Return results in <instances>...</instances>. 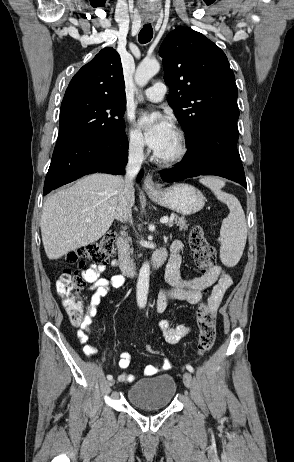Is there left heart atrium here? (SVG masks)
Returning <instances> with one entry per match:
<instances>
[{
  "label": "left heart atrium",
  "mask_w": 294,
  "mask_h": 462,
  "mask_svg": "<svg viewBox=\"0 0 294 462\" xmlns=\"http://www.w3.org/2000/svg\"><path fill=\"white\" fill-rule=\"evenodd\" d=\"M138 126L144 131L147 144L157 156L165 151L176 135L172 122L164 116L159 118L150 115L142 116L138 120Z\"/></svg>",
  "instance_id": "obj_1"
}]
</instances>
